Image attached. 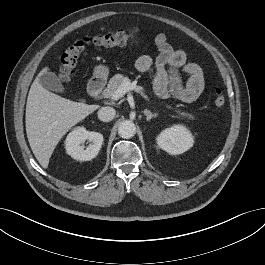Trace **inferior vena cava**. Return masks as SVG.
<instances>
[{"mask_svg":"<svg viewBox=\"0 0 265 265\" xmlns=\"http://www.w3.org/2000/svg\"><path fill=\"white\" fill-rule=\"evenodd\" d=\"M115 115H116L115 109L109 106L101 107L98 111V118L103 122H109L113 120Z\"/></svg>","mask_w":265,"mask_h":265,"instance_id":"602c4592","label":"inferior vena cava"}]
</instances>
